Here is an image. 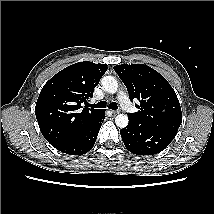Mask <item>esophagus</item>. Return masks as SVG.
Listing matches in <instances>:
<instances>
[{
	"label": "esophagus",
	"mask_w": 214,
	"mask_h": 214,
	"mask_svg": "<svg viewBox=\"0 0 214 214\" xmlns=\"http://www.w3.org/2000/svg\"><path fill=\"white\" fill-rule=\"evenodd\" d=\"M113 114H118V113H120V110H112L111 111Z\"/></svg>",
	"instance_id": "34e87169"
}]
</instances>
